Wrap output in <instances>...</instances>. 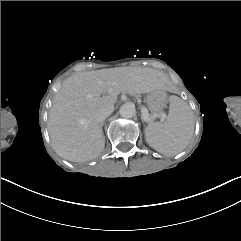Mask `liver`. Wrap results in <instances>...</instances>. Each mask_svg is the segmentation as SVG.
I'll list each match as a JSON object with an SVG mask.
<instances>
[{"label": "liver", "instance_id": "obj_1", "mask_svg": "<svg viewBox=\"0 0 241 241\" xmlns=\"http://www.w3.org/2000/svg\"><path fill=\"white\" fill-rule=\"evenodd\" d=\"M165 89L163 73L153 69H103L67 78L55 95L48 131L54 151L72 162L98 157L105 147L96 115L113 106L124 92L143 94Z\"/></svg>", "mask_w": 241, "mask_h": 241}]
</instances>
